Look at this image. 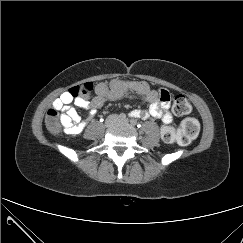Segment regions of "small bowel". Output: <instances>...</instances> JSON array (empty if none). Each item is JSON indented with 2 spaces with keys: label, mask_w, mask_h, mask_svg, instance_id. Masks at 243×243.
Here are the masks:
<instances>
[{
  "label": "small bowel",
  "mask_w": 243,
  "mask_h": 243,
  "mask_svg": "<svg viewBox=\"0 0 243 243\" xmlns=\"http://www.w3.org/2000/svg\"><path fill=\"white\" fill-rule=\"evenodd\" d=\"M166 91V99H161L162 92ZM95 97L88 101L81 97H74L69 91L64 92L57 98L53 105L61 112L60 122L64 133L68 135H78L84 129L86 122L82 121L77 110L72 106L90 109L89 118H92L97 109L101 108L106 101H113L129 95L130 97H142L150 106L148 111L134 109L129 115L134 118L147 119L154 117L160 119L167 126L173 122V117L169 111L170 94L165 89L156 90L144 81H134L127 79H112L105 91L97 89Z\"/></svg>",
  "instance_id": "1"
}]
</instances>
